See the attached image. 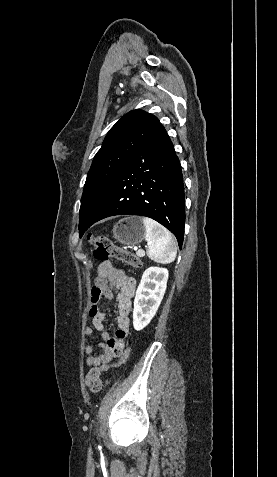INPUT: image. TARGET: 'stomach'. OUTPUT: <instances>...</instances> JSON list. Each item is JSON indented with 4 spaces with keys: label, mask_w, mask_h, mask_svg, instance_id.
<instances>
[{
    "label": "stomach",
    "mask_w": 277,
    "mask_h": 477,
    "mask_svg": "<svg viewBox=\"0 0 277 477\" xmlns=\"http://www.w3.org/2000/svg\"><path fill=\"white\" fill-rule=\"evenodd\" d=\"M113 237L122 245L134 246L145 238V226L137 216L126 217L113 227Z\"/></svg>",
    "instance_id": "0dacf381"
}]
</instances>
